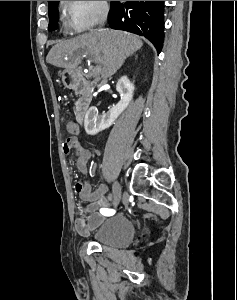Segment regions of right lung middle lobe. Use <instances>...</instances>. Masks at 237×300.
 Instances as JSON below:
<instances>
[{"label":"right lung middle lobe","instance_id":"1","mask_svg":"<svg viewBox=\"0 0 237 300\" xmlns=\"http://www.w3.org/2000/svg\"><path fill=\"white\" fill-rule=\"evenodd\" d=\"M58 3L59 1H52L48 5V13H49V26L48 30L53 31L58 27V19H59V12H58Z\"/></svg>","mask_w":237,"mask_h":300}]
</instances>
